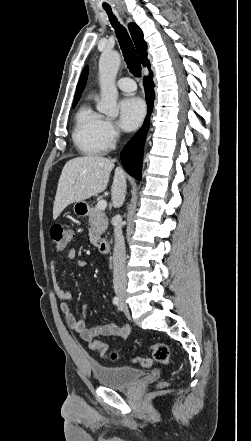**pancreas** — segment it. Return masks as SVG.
<instances>
[{
	"label": "pancreas",
	"instance_id": "pancreas-1",
	"mask_svg": "<svg viewBox=\"0 0 251 441\" xmlns=\"http://www.w3.org/2000/svg\"><path fill=\"white\" fill-rule=\"evenodd\" d=\"M89 220V239L92 244H96L108 227V219L102 210L90 208Z\"/></svg>",
	"mask_w": 251,
	"mask_h": 441
}]
</instances>
